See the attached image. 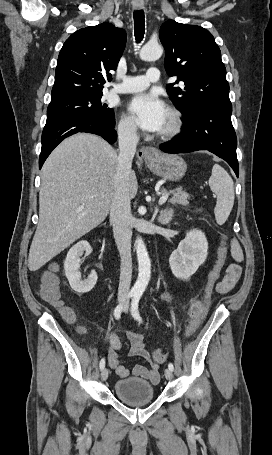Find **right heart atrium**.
Wrapping results in <instances>:
<instances>
[{"mask_svg": "<svg viewBox=\"0 0 272 455\" xmlns=\"http://www.w3.org/2000/svg\"><path fill=\"white\" fill-rule=\"evenodd\" d=\"M118 135L126 142H136L138 140V132L133 120L127 116H122L118 123Z\"/></svg>", "mask_w": 272, "mask_h": 455, "instance_id": "right-heart-atrium-1", "label": "right heart atrium"}]
</instances>
